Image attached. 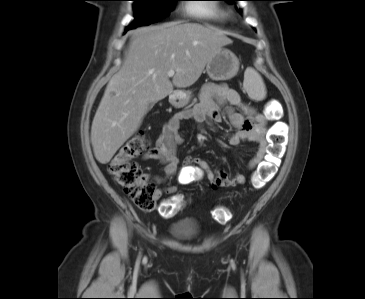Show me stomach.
<instances>
[{"mask_svg": "<svg viewBox=\"0 0 365 299\" xmlns=\"http://www.w3.org/2000/svg\"><path fill=\"white\" fill-rule=\"evenodd\" d=\"M239 65V59L232 51L221 48L207 63L206 71L213 80H229L237 74ZM191 95L190 91H176L170 95L169 101L173 106L181 108L190 102Z\"/></svg>", "mask_w": 365, "mask_h": 299, "instance_id": "1", "label": "stomach"}]
</instances>
